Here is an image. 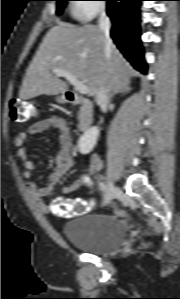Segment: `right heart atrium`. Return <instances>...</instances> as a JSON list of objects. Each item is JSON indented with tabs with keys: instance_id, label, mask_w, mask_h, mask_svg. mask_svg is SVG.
Masks as SVG:
<instances>
[{
	"instance_id": "right-heart-atrium-1",
	"label": "right heart atrium",
	"mask_w": 180,
	"mask_h": 299,
	"mask_svg": "<svg viewBox=\"0 0 180 299\" xmlns=\"http://www.w3.org/2000/svg\"><path fill=\"white\" fill-rule=\"evenodd\" d=\"M73 5V15L79 20H91L105 12L103 0H76Z\"/></svg>"
}]
</instances>
